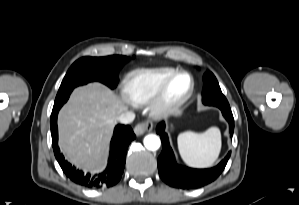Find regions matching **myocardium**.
<instances>
[{"label":"myocardium","mask_w":299,"mask_h":205,"mask_svg":"<svg viewBox=\"0 0 299 205\" xmlns=\"http://www.w3.org/2000/svg\"><path fill=\"white\" fill-rule=\"evenodd\" d=\"M181 77H186L189 81L187 90L179 96H173L171 89L174 83ZM194 79L186 71H178L172 74L158 89L151 100V113L155 117L165 116L183 106L194 92Z\"/></svg>","instance_id":"f54148a6"}]
</instances>
